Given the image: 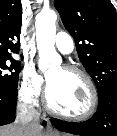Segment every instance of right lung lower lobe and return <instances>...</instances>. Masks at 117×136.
I'll return each mask as SVG.
<instances>
[{
    "instance_id": "98d812e1",
    "label": "right lung lower lobe",
    "mask_w": 117,
    "mask_h": 136,
    "mask_svg": "<svg viewBox=\"0 0 117 136\" xmlns=\"http://www.w3.org/2000/svg\"><path fill=\"white\" fill-rule=\"evenodd\" d=\"M17 90L0 89V126L15 120ZM46 123L43 122V125Z\"/></svg>"
}]
</instances>
